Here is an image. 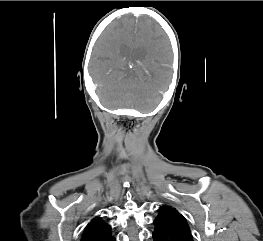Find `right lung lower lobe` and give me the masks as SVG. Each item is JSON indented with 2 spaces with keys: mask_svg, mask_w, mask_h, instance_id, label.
<instances>
[{
  "mask_svg": "<svg viewBox=\"0 0 263 241\" xmlns=\"http://www.w3.org/2000/svg\"><path fill=\"white\" fill-rule=\"evenodd\" d=\"M112 241H115V238L113 237Z\"/></svg>",
  "mask_w": 263,
  "mask_h": 241,
  "instance_id": "right-lung-lower-lobe-1",
  "label": "right lung lower lobe"
}]
</instances>
